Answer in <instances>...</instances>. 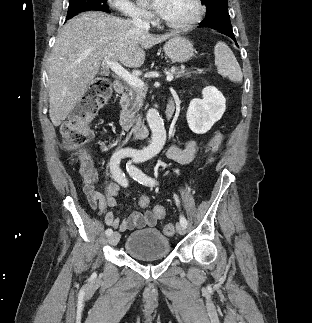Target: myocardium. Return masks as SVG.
Listing matches in <instances>:
<instances>
[{
  "mask_svg": "<svg viewBox=\"0 0 312 323\" xmlns=\"http://www.w3.org/2000/svg\"><path fill=\"white\" fill-rule=\"evenodd\" d=\"M204 0H192L195 4L192 12V18H185V20H177V18H161V25H173V27H188V25H195L196 21H205L206 13L209 12V5L203 3Z\"/></svg>",
  "mask_w": 312,
  "mask_h": 323,
  "instance_id": "f54148a6",
  "label": "myocardium"
}]
</instances>
